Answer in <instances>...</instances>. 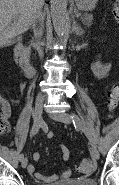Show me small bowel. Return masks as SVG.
I'll return each mask as SVG.
<instances>
[{"mask_svg":"<svg viewBox=\"0 0 119 185\" xmlns=\"http://www.w3.org/2000/svg\"><path fill=\"white\" fill-rule=\"evenodd\" d=\"M111 67L112 65L110 63H104L101 60H97L92 65V71L97 78H104L108 75L109 71L111 70ZM3 110L9 118L11 110L7 102L3 103ZM48 136L51 138L53 134L50 132ZM60 148L62 151L63 162L66 165L65 170L60 175H44L42 173H39L35 170V166L33 164H30L28 166V172L32 174L36 178V180L45 183L57 181L58 179L68 178L71 174L70 168L67 166V163L70 158V151L68 147L63 144H60ZM33 160L34 162H38L40 160V154L38 152L34 153Z\"/></svg>","mask_w":119,"mask_h":185,"instance_id":"c3829d8e","label":"small bowel"}]
</instances>
